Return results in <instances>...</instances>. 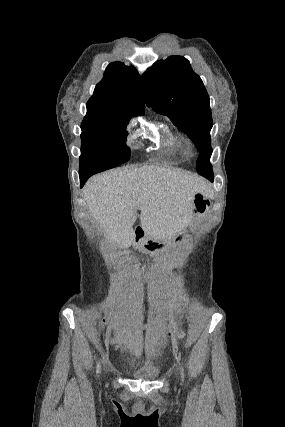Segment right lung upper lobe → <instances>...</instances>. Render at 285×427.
<instances>
[{"mask_svg": "<svg viewBox=\"0 0 285 427\" xmlns=\"http://www.w3.org/2000/svg\"><path fill=\"white\" fill-rule=\"evenodd\" d=\"M140 75L133 66L121 62L108 65L87 103L82 125L129 122L144 113Z\"/></svg>", "mask_w": 285, "mask_h": 427, "instance_id": "right-lung-upper-lobe-1", "label": "right lung upper lobe"}]
</instances>
